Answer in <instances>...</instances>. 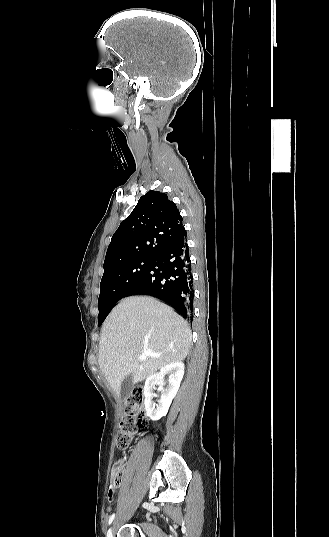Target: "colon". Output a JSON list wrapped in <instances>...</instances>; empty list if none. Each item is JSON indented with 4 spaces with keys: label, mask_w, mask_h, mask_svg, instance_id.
<instances>
[{
    "label": "colon",
    "mask_w": 329,
    "mask_h": 537,
    "mask_svg": "<svg viewBox=\"0 0 329 537\" xmlns=\"http://www.w3.org/2000/svg\"><path fill=\"white\" fill-rule=\"evenodd\" d=\"M144 401L145 394L141 387L134 388L125 398V410L120 423V430L116 437V447L118 450H126L137 431L146 425L147 419L144 416ZM120 479L121 469L117 468L113 472L110 495L113 494L114 490L120 484Z\"/></svg>",
    "instance_id": "colon-1"
}]
</instances>
